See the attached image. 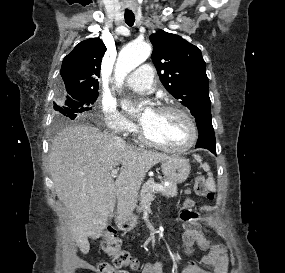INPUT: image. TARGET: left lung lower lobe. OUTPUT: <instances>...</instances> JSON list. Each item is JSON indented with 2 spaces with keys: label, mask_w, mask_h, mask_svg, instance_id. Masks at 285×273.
<instances>
[{
  "label": "left lung lower lobe",
  "mask_w": 285,
  "mask_h": 273,
  "mask_svg": "<svg viewBox=\"0 0 285 273\" xmlns=\"http://www.w3.org/2000/svg\"><path fill=\"white\" fill-rule=\"evenodd\" d=\"M196 122L199 130V137L196 144V148H205L215 153L216 140L211 122V117H206Z\"/></svg>",
  "instance_id": "1"
}]
</instances>
